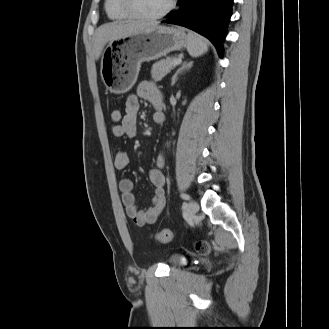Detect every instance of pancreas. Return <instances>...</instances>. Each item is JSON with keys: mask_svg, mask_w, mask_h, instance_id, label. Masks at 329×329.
Masks as SVG:
<instances>
[{"mask_svg": "<svg viewBox=\"0 0 329 329\" xmlns=\"http://www.w3.org/2000/svg\"><path fill=\"white\" fill-rule=\"evenodd\" d=\"M176 57H167L152 65L151 75L155 81H160L166 74H168L174 67Z\"/></svg>", "mask_w": 329, "mask_h": 329, "instance_id": "pancreas-1", "label": "pancreas"}]
</instances>
